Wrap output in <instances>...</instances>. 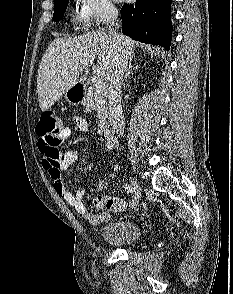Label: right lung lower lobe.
<instances>
[{
  "instance_id": "obj_1",
  "label": "right lung lower lobe",
  "mask_w": 233,
  "mask_h": 294,
  "mask_svg": "<svg viewBox=\"0 0 233 294\" xmlns=\"http://www.w3.org/2000/svg\"><path fill=\"white\" fill-rule=\"evenodd\" d=\"M172 0H136L121 9L122 32L134 40L170 49Z\"/></svg>"
}]
</instances>
